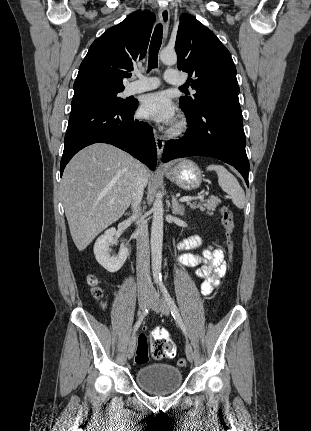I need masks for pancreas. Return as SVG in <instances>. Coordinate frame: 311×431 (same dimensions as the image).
<instances>
[{"instance_id": "cf45deb5", "label": "pancreas", "mask_w": 311, "mask_h": 431, "mask_svg": "<svg viewBox=\"0 0 311 431\" xmlns=\"http://www.w3.org/2000/svg\"><path fill=\"white\" fill-rule=\"evenodd\" d=\"M218 204H221V200L219 198H216V196H210L209 200H200L198 204H190V208H193V210H201V212H206L208 216H212L215 208H217Z\"/></svg>"}]
</instances>
